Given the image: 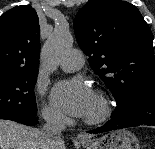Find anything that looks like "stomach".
Masks as SVG:
<instances>
[{"mask_svg":"<svg viewBox=\"0 0 155 149\" xmlns=\"http://www.w3.org/2000/svg\"><path fill=\"white\" fill-rule=\"evenodd\" d=\"M84 149H140L137 137L126 129L109 132L100 138L82 142Z\"/></svg>","mask_w":155,"mask_h":149,"instance_id":"stomach-1","label":"stomach"}]
</instances>
